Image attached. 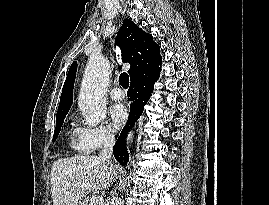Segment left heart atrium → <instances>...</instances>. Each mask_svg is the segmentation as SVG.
Instances as JSON below:
<instances>
[{
    "label": "left heart atrium",
    "instance_id": "1",
    "mask_svg": "<svg viewBox=\"0 0 269 205\" xmlns=\"http://www.w3.org/2000/svg\"><path fill=\"white\" fill-rule=\"evenodd\" d=\"M110 118L114 130L121 128L127 120L126 108L122 104L113 105L110 109Z\"/></svg>",
    "mask_w": 269,
    "mask_h": 205
}]
</instances>
